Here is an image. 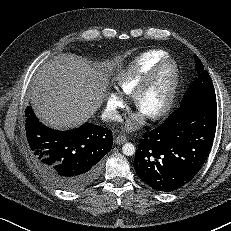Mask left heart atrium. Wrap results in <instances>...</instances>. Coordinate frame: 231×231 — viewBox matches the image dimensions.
I'll return each mask as SVG.
<instances>
[{
	"label": "left heart atrium",
	"instance_id": "obj_1",
	"mask_svg": "<svg viewBox=\"0 0 231 231\" xmlns=\"http://www.w3.org/2000/svg\"><path fill=\"white\" fill-rule=\"evenodd\" d=\"M134 125H135V123L132 122V123H129L128 126H129L130 128H132V127H134Z\"/></svg>",
	"mask_w": 231,
	"mask_h": 231
}]
</instances>
